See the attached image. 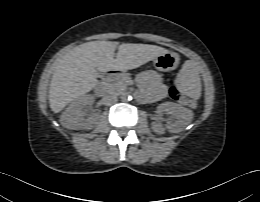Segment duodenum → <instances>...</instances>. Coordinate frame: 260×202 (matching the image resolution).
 Instances as JSON below:
<instances>
[{"mask_svg": "<svg viewBox=\"0 0 260 202\" xmlns=\"http://www.w3.org/2000/svg\"><path fill=\"white\" fill-rule=\"evenodd\" d=\"M122 73V71L118 68H111L109 69L105 75H104V82H108L112 79H114L115 77L119 76ZM97 90H101V85H97L95 87Z\"/></svg>", "mask_w": 260, "mask_h": 202, "instance_id": "duodenum-1", "label": "duodenum"}]
</instances>
